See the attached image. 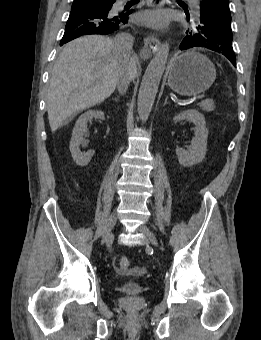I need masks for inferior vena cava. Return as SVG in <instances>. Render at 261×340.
<instances>
[{"label":"inferior vena cava","mask_w":261,"mask_h":340,"mask_svg":"<svg viewBox=\"0 0 261 340\" xmlns=\"http://www.w3.org/2000/svg\"><path fill=\"white\" fill-rule=\"evenodd\" d=\"M134 38L129 33H120L116 35L113 40L115 49L124 58L131 57L132 46ZM132 80V74L130 70H125L120 73L117 81V89L123 94L126 92L130 81Z\"/></svg>","instance_id":"1"}]
</instances>
